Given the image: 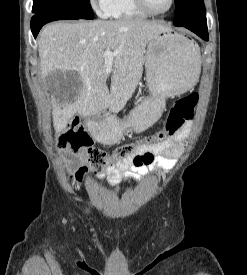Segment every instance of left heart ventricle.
Here are the masks:
<instances>
[{
	"mask_svg": "<svg viewBox=\"0 0 247 275\" xmlns=\"http://www.w3.org/2000/svg\"><path fill=\"white\" fill-rule=\"evenodd\" d=\"M148 6L154 11H164L170 5V0H146Z\"/></svg>",
	"mask_w": 247,
	"mask_h": 275,
	"instance_id": "1",
	"label": "left heart ventricle"
}]
</instances>
